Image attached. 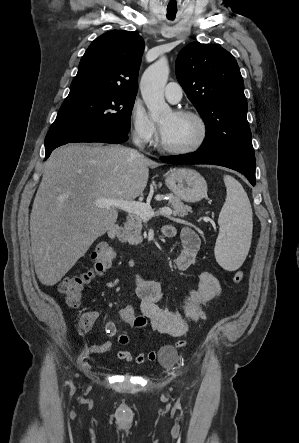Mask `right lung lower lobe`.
<instances>
[{"label":"right lung lower lobe","instance_id":"right-lung-lower-lobe-1","mask_svg":"<svg viewBox=\"0 0 299 443\" xmlns=\"http://www.w3.org/2000/svg\"><path fill=\"white\" fill-rule=\"evenodd\" d=\"M127 140L128 132L113 127L84 129L76 132H48L45 138V160L55 148L67 143L103 142L118 144Z\"/></svg>","mask_w":299,"mask_h":443}]
</instances>
